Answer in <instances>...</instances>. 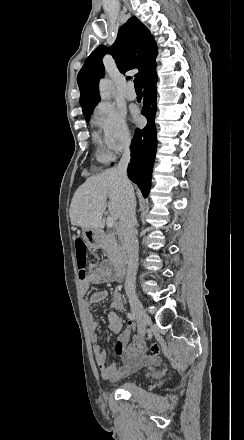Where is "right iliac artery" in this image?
<instances>
[{
	"instance_id": "1",
	"label": "right iliac artery",
	"mask_w": 244,
	"mask_h": 440,
	"mask_svg": "<svg viewBox=\"0 0 244 440\" xmlns=\"http://www.w3.org/2000/svg\"><path fill=\"white\" fill-rule=\"evenodd\" d=\"M127 317L129 320L131 321H136L137 320V316L135 315V313L131 312L127 314Z\"/></svg>"
}]
</instances>
